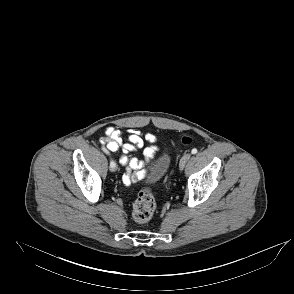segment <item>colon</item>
Returning <instances> with one entry per match:
<instances>
[{"mask_svg":"<svg viewBox=\"0 0 294 294\" xmlns=\"http://www.w3.org/2000/svg\"><path fill=\"white\" fill-rule=\"evenodd\" d=\"M184 145L192 143L190 137L181 138ZM156 209V202L150 189L144 188L139 191L133 205V219L139 224L147 223L151 220Z\"/></svg>","mask_w":294,"mask_h":294,"instance_id":"5ec220e1","label":"colon"}]
</instances>
